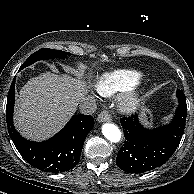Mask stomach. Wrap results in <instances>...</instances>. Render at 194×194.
<instances>
[{
    "instance_id": "obj_1",
    "label": "stomach",
    "mask_w": 194,
    "mask_h": 194,
    "mask_svg": "<svg viewBox=\"0 0 194 194\" xmlns=\"http://www.w3.org/2000/svg\"><path fill=\"white\" fill-rule=\"evenodd\" d=\"M142 122L145 126H150L153 122L152 113L148 108H144L142 112Z\"/></svg>"
}]
</instances>
